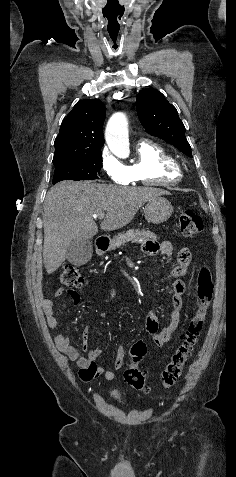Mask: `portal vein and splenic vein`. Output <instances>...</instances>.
I'll use <instances>...</instances> for the list:
<instances>
[{
    "label": "portal vein and splenic vein",
    "instance_id": "portal-vein-and-splenic-vein-1",
    "mask_svg": "<svg viewBox=\"0 0 236 477\" xmlns=\"http://www.w3.org/2000/svg\"><path fill=\"white\" fill-rule=\"evenodd\" d=\"M105 217V214L104 213H99V214H94L93 215V218L96 219V218H99V219H103Z\"/></svg>",
    "mask_w": 236,
    "mask_h": 477
}]
</instances>
